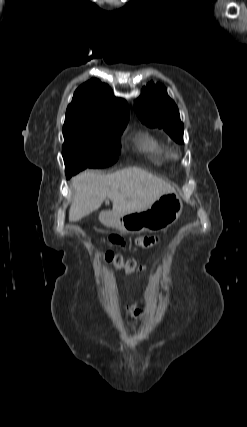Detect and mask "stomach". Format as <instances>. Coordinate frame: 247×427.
<instances>
[{"label":"stomach","mask_w":247,"mask_h":427,"mask_svg":"<svg viewBox=\"0 0 247 427\" xmlns=\"http://www.w3.org/2000/svg\"><path fill=\"white\" fill-rule=\"evenodd\" d=\"M182 209L181 198L172 191L160 196L145 210L124 215L105 211L100 213L99 220L109 228L127 233L159 232L174 224Z\"/></svg>","instance_id":"1"}]
</instances>
